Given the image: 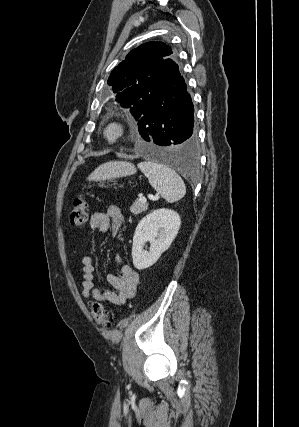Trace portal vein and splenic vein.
Here are the masks:
<instances>
[{
    "mask_svg": "<svg viewBox=\"0 0 299 427\" xmlns=\"http://www.w3.org/2000/svg\"><path fill=\"white\" fill-rule=\"evenodd\" d=\"M148 198H149V199H151V200H154V201H155V200H158V199H159V195H155V196H153V195H151V194H150V195H148ZM140 200H141L142 202H146V201H147V199H146L145 197H141V198H140Z\"/></svg>",
    "mask_w": 299,
    "mask_h": 427,
    "instance_id": "18ae733b",
    "label": "portal vein and splenic vein"
}]
</instances>
